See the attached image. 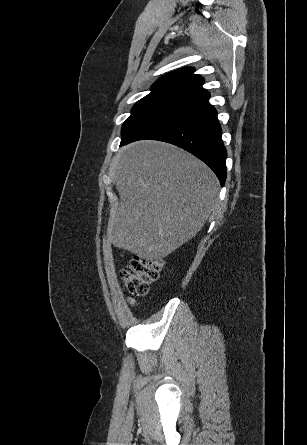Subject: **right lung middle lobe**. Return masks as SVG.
Segmentation results:
<instances>
[{
	"label": "right lung middle lobe",
	"instance_id": "1",
	"mask_svg": "<svg viewBox=\"0 0 307 445\" xmlns=\"http://www.w3.org/2000/svg\"><path fill=\"white\" fill-rule=\"evenodd\" d=\"M185 101L161 96H145L133 107L130 117L122 126V139L130 136L146 124L174 110Z\"/></svg>",
	"mask_w": 307,
	"mask_h": 445
}]
</instances>
